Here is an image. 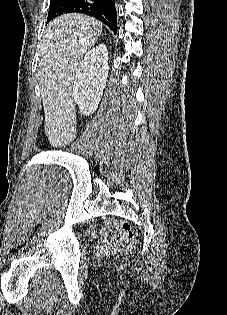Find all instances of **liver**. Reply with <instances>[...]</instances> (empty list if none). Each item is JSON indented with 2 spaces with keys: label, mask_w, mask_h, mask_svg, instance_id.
<instances>
[{
  "label": "liver",
  "mask_w": 227,
  "mask_h": 315,
  "mask_svg": "<svg viewBox=\"0 0 227 315\" xmlns=\"http://www.w3.org/2000/svg\"><path fill=\"white\" fill-rule=\"evenodd\" d=\"M100 21L77 13L51 21L40 46L38 80L45 113V134L53 147L76 137L73 81L83 56L101 35Z\"/></svg>",
  "instance_id": "6515ba94"
}]
</instances>
